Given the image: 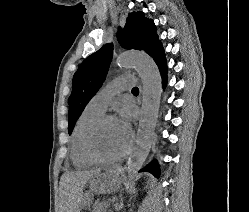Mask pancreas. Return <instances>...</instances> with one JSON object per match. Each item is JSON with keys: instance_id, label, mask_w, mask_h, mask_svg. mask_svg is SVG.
<instances>
[{"instance_id": "cf45deb5", "label": "pancreas", "mask_w": 249, "mask_h": 212, "mask_svg": "<svg viewBox=\"0 0 249 212\" xmlns=\"http://www.w3.org/2000/svg\"><path fill=\"white\" fill-rule=\"evenodd\" d=\"M92 212H107V210L103 208L102 204H98V202H96V204L93 206Z\"/></svg>"}]
</instances>
